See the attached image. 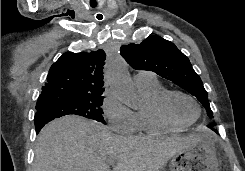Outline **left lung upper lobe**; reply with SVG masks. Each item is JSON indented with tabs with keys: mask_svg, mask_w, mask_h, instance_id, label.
<instances>
[{
	"mask_svg": "<svg viewBox=\"0 0 245 171\" xmlns=\"http://www.w3.org/2000/svg\"><path fill=\"white\" fill-rule=\"evenodd\" d=\"M120 52L134 69L153 71L188 91L201 102L207 115L213 117L202 80L195 73L188 57L172 42L159 36H149L140 44L121 46Z\"/></svg>",
	"mask_w": 245,
	"mask_h": 171,
	"instance_id": "1",
	"label": "left lung upper lobe"
}]
</instances>
